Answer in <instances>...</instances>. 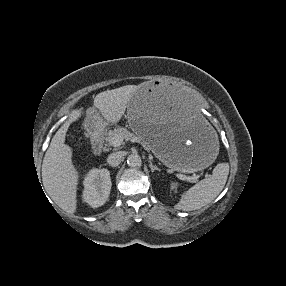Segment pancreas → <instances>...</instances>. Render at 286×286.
<instances>
[{"label":"pancreas","instance_id":"cf45deb5","mask_svg":"<svg viewBox=\"0 0 286 286\" xmlns=\"http://www.w3.org/2000/svg\"><path fill=\"white\" fill-rule=\"evenodd\" d=\"M116 136H121L123 137V139L130 140L133 142H141L145 146V148L149 150L148 145L145 143V141L140 136L135 135L131 133L130 131H128L127 129L120 128V127L113 130L112 132L108 134V137H106L105 139L107 144L113 146L112 141H113V138Z\"/></svg>","mask_w":286,"mask_h":286}]
</instances>
